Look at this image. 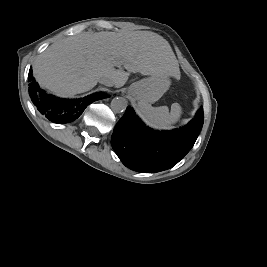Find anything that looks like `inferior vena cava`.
<instances>
[{
  "instance_id": "1",
  "label": "inferior vena cava",
  "mask_w": 267,
  "mask_h": 267,
  "mask_svg": "<svg viewBox=\"0 0 267 267\" xmlns=\"http://www.w3.org/2000/svg\"><path fill=\"white\" fill-rule=\"evenodd\" d=\"M99 83L105 85V86H108V87H112L114 86V80L110 79V78H107V77H101L99 79Z\"/></svg>"
}]
</instances>
